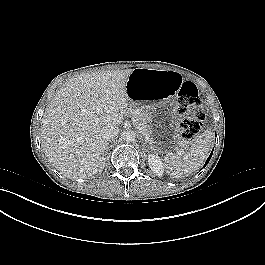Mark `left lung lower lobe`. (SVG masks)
Returning a JSON list of instances; mask_svg holds the SVG:
<instances>
[{
  "label": "left lung lower lobe",
  "instance_id": "0a47b994",
  "mask_svg": "<svg viewBox=\"0 0 265 265\" xmlns=\"http://www.w3.org/2000/svg\"><path fill=\"white\" fill-rule=\"evenodd\" d=\"M212 154H213V151L211 152L210 156L208 157V159H207V161H206L204 167L208 164L209 160L211 159Z\"/></svg>",
  "mask_w": 265,
  "mask_h": 265
}]
</instances>
